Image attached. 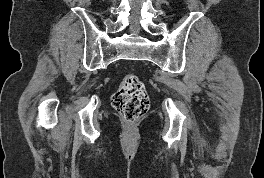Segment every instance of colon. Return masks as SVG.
Returning a JSON list of instances; mask_svg holds the SVG:
<instances>
[{
    "label": "colon",
    "instance_id": "obj_1",
    "mask_svg": "<svg viewBox=\"0 0 264 178\" xmlns=\"http://www.w3.org/2000/svg\"><path fill=\"white\" fill-rule=\"evenodd\" d=\"M112 105L127 122L141 119L150 105L143 82L136 75H126L112 97Z\"/></svg>",
    "mask_w": 264,
    "mask_h": 178
}]
</instances>
